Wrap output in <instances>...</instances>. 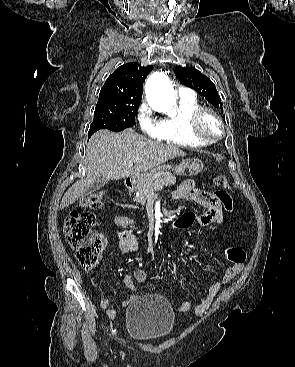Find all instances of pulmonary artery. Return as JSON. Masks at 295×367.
<instances>
[{"mask_svg":"<svg viewBox=\"0 0 295 367\" xmlns=\"http://www.w3.org/2000/svg\"><path fill=\"white\" fill-rule=\"evenodd\" d=\"M179 95L181 98H195L194 91L185 87H180Z\"/></svg>","mask_w":295,"mask_h":367,"instance_id":"e3ab8cb5","label":"pulmonary artery"}]
</instances>
